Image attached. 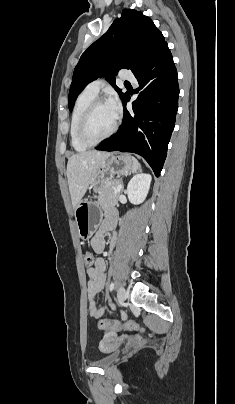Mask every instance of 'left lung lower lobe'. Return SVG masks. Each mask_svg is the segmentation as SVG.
Instances as JSON below:
<instances>
[{"label":"left lung lower lobe","mask_w":235,"mask_h":404,"mask_svg":"<svg viewBox=\"0 0 235 404\" xmlns=\"http://www.w3.org/2000/svg\"><path fill=\"white\" fill-rule=\"evenodd\" d=\"M139 82V95L126 109L119 130L97 150L133 152L141 155L158 177L162 170L168 143L175 126L179 86L176 67L168 45H164L134 73Z\"/></svg>","instance_id":"0a47b994"}]
</instances>
